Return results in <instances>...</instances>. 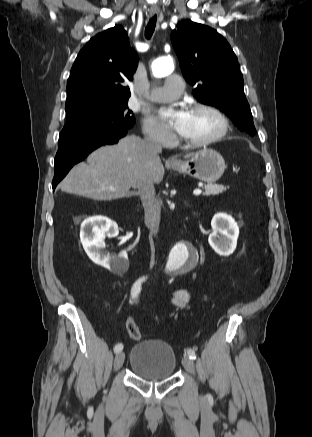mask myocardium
<instances>
[{
	"mask_svg": "<svg viewBox=\"0 0 312 437\" xmlns=\"http://www.w3.org/2000/svg\"><path fill=\"white\" fill-rule=\"evenodd\" d=\"M191 112H206L214 115L220 122L219 130L211 135L210 137L199 140V141H191L186 140L183 137L179 138V142L181 144L191 146V147H203L213 144L219 140H221L229 131L230 121L227 115L218 107L210 105V104H195L191 107Z\"/></svg>",
	"mask_w": 312,
	"mask_h": 437,
	"instance_id": "myocardium-1",
	"label": "myocardium"
}]
</instances>
